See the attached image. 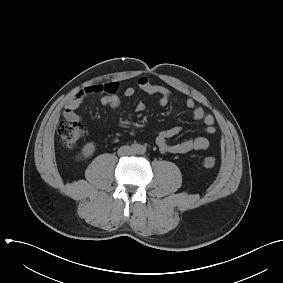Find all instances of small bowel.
Returning a JSON list of instances; mask_svg holds the SVG:
<instances>
[{
	"instance_id": "small-bowel-1",
	"label": "small bowel",
	"mask_w": 283,
	"mask_h": 283,
	"mask_svg": "<svg viewBox=\"0 0 283 283\" xmlns=\"http://www.w3.org/2000/svg\"><path fill=\"white\" fill-rule=\"evenodd\" d=\"M138 87L149 95H159L158 104L161 107L168 105L171 99V92L168 88L156 85L150 82L146 77H140L137 81ZM92 94H102L101 103L110 109H117L121 104V96L119 94V84L110 82L106 84H98L85 87L78 91L67 103L64 110V118L69 122H77L81 119L77 113L83 99ZM125 97H133L135 89L127 87L123 91ZM185 105L192 111V117L196 121H200L204 126V131L207 135H214L217 132L215 127V119L211 114L204 111L203 108L197 106L191 98L186 99ZM136 110L142 112L146 110L144 103H138ZM180 132L178 127H173L167 130L158 132L156 136V145L163 154H185L191 151H204L209 147V140L202 136L195 139L185 140L179 143H169V140L177 136Z\"/></svg>"
}]
</instances>
